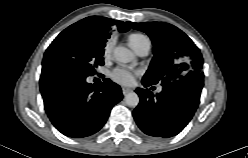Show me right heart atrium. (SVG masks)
Instances as JSON below:
<instances>
[{"label":"right heart atrium","mask_w":248,"mask_h":158,"mask_svg":"<svg viewBox=\"0 0 248 158\" xmlns=\"http://www.w3.org/2000/svg\"><path fill=\"white\" fill-rule=\"evenodd\" d=\"M112 49V43L111 41H108L104 47V55L108 57L111 54Z\"/></svg>","instance_id":"obj_1"}]
</instances>
